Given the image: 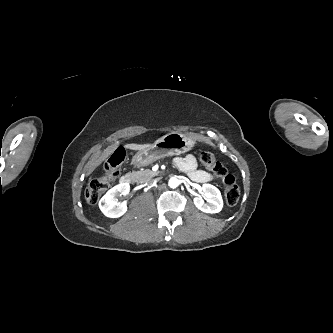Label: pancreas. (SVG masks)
I'll use <instances>...</instances> for the list:
<instances>
[{
    "label": "pancreas",
    "instance_id": "obj_1",
    "mask_svg": "<svg viewBox=\"0 0 333 333\" xmlns=\"http://www.w3.org/2000/svg\"><path fill=\"white\" fill-rule=\"evenodd\" d=\"M158 173L150 169L140 170L134 173L136 181L139 183L150 182Z\"/></svg>",
    "mask_w": 333,
    "mask_h": 333
}]
</instances>
